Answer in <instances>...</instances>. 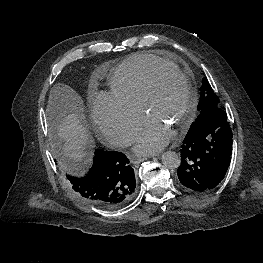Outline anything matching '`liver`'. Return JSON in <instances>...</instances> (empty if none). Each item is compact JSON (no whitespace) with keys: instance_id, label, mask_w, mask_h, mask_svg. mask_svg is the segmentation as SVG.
Masks as SVG:
<instances>
[{"instance_id":"1","label":"liver","mask_w":263,"mask_h":263,"mask_svg":"<svg viewBox=\"0 0 263 263\" xmlns=\"http://www.w3.org/2000/svg\"><path fill=\"white\" fill-rule=\"evenodd\" d=\"M81 104L80 96L67 85H57L51 91L50 111L57 120L55 131L64 156L74 163L88 156L85 149L91 142L81 123Z\"/></svg>"}]
</instances>
